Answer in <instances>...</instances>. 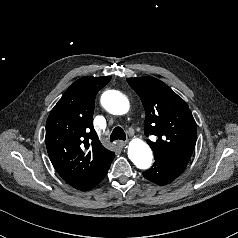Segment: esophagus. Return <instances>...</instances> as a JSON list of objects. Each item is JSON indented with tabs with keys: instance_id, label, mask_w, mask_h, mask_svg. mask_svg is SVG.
Instances as JSON below:
<instances>
[{
	"instance_id": "1",
	"label": "esophagus",
	"mask_w": 238,
	"mask_h": 238,
	"mask_svg": "<svg viewBox=\"0 0 238 238\" xmlns=\"http://www.w3.org/2000/svg\"><path fill=\"white\" fill-rule=\"evenodd\" d=\"M117 144L119 147H125L127 145V142L123 141V140H119V141H117Z\"/></svg>"
}]
</instances>
